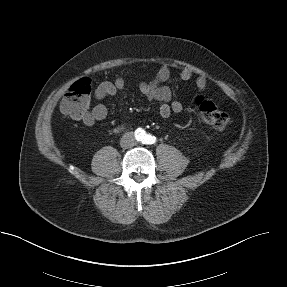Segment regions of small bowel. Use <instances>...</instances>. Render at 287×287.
<instances>
[{"label": "small bowel", "mask_w": 287, "mask_h": 287, "mask_svg": "<svg viewBox=\"0 0 287 287\" xmlns=\"http://www.w3.org/2000/svg\"><path fill=\"white\" fill-rule=\"evenodd\" d=\"M193 77V72L188 69H182L176 81L186 82ZM174 76L170 66L162 65L158 70L155 78L150 82H140V93L150 101L158 103L159 114L162 118H168L172 113H180L183 110V105L180 101L173 98V91L170 84L173 82ZM196 86L199 92L206 89L207 79L203 75L196 78ZM125 81L122 77H118L115 81L102 82L95 90L94 98L97 101H102L113 97L118 93H124ZM108 114L104 104L98 103L93 106L81 119L86 126H93L97 121L104 120Z\"/></svg>", "instance_id": "obj_1"}]
</instances>
